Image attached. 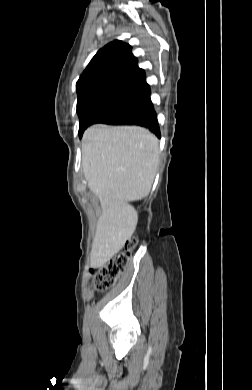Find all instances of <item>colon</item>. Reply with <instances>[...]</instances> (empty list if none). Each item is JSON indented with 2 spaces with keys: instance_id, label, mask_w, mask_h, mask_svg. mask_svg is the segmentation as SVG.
<instances>
[{
  "instance_id": "obj_1",
  "label": "colon",
  "mask_w": 252,
  "mask_h": 390,
  "mask_svg": "<svg viewBox=\"0 0 252 390\" xmlns=\"http://www.w3.org/2000/svg\"><path fill=\"white\" fill-rule=\"evenodd\" d=\"M137 243L138 240L136 237L127 239L122 252L112 257L107 263L93 272V284L97 290H105L115 284L120 274L128 265Z\"/></svg>"
}]
</instances>
